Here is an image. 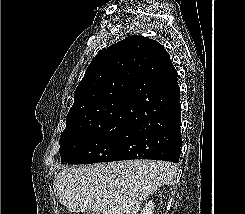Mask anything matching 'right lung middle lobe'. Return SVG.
I'll list each match as a JSON object with an SVG mask.
<instances>
[{"label": "right lung middle lobe", "instance_id": "1", "mask_svg": "<svg viewBox=\"0 0 245 214\" xmlns=\"http://www.w3.org/2000/svg\"><path fill=\"white\" fill-rule=\"evenodd\" d=\"M129 123L93 129H65L60 137L62 164H93L116 161Z\"/></svg>", "mask_w": 245, "mask_h": 214}]
</instances>
